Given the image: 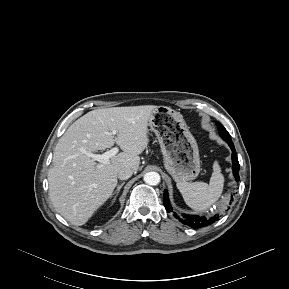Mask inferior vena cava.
Returning a JSON list of instances; mask_svg holds the SVG:
<instances>
[{"instance_id": "inferior-vena-cava-1", "label": "inferior vena cava", "mask_w": 289, "mask_h": 289, "mask_svg": "<svg viewBox=\"0 0 289 289\" xmlns=\"http://www.w3.org/2000/svg\"><path fill=\"white\" fill-rule=\"evenodd\" d=\"M133 170L130 169V168H124V169H121L118 174H117V177L120 179V180H126L128 178H130L133 174Z\"/></svg>"}]
</instances>
